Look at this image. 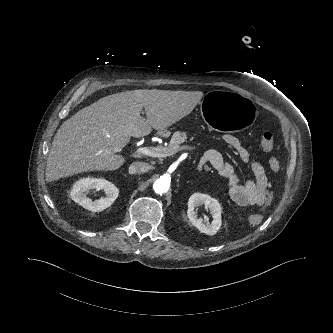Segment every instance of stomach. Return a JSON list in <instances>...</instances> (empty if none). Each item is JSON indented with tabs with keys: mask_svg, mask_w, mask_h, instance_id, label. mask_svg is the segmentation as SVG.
I'll list each match as a JSON object with an SVG mask.
<instances>
[{
	"mask_svg": "<svg viewBox=\"0 0 333 333\" xmlns=\"http://www.w3.org/2000/svg\"><path fill=\"white\" fill-rule=\"evenodd\" d=\"M201 117L205 124L214 130L242 134L249 130L255 121V107L242 95L214 91L201 102Z\"/></svg>",
	"mask_w": 333,
	"mask_h": 333,
	"instance_id": "obj_1",
	"label": "stomach"
}]
</instances>
